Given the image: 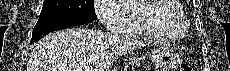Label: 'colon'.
I'll return each mask as SVG.
<instances>
[{"mask_svg": "<svg viewBox=\"0 0 230 71\" xmlns=\"http://www.w3.org/2000/svg\"><path fill=\"white\" fill-rule=\"evenodd\" d=\"M179 71H193V68L190 65L182 64L179 66Z\"/></svg>", "mask_w": 230, "mask_h": 71, "instance_id": "5ec220e1", "label": "colon"}]
</instances>
